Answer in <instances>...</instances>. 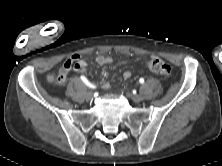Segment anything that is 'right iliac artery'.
<instances>
[{
	"label": "right iliac artery",
	"instance_id": "82829eb1",
	"mask_svg": "<svg viewBox=\"0 0 222 166\" xmlns=\"http://www.w3.org/2000/svg\"><path fill=\"white\" fill-rule=\"evenodd\" d=\"M81 80L89 87V88H96V86L95 85H93V84H91L88 80H87V78L85 77V76H81Z\"/></svg>",
	"mask_w": 222,
	"mask_h": 166
}]
</instances>
